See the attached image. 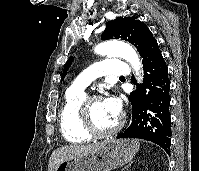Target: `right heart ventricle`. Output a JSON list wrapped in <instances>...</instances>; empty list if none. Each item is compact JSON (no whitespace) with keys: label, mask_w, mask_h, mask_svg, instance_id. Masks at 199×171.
Instances as JSON below:
<instances>
[{"label":"right heart ventricle","mask_w":199,"mask_h":171,"mask_svg":"<svg viewBox=\"0 0 199 171\" xmlns=\"http://www.w3.org/2000/svg\"><path fill=\"white\" fill-rule=\"evenodd\" d=\"M84 98V91L68 88L59 110L60 130L64 139L70 143H84L92 138L83 123L81 104Z\"/></svg>","instance_id":"obj_1"}]
</instances>
